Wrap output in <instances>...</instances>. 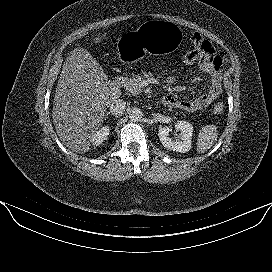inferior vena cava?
Returning a JSON list of instances; mask_svg holds the SVG:
<instances>
[{
	"label": "inferior vena cava",
	"instance_id": "1",
	"mask_svg": "<svg viewBox=\"0 0 272 272\" xmlns=\"http://www.w3.org/2000/svg\"><path fill=\"white\" fill-rule=\"evenodd\" d=\"M126 102L123 99H115L110 105V112L119 115L125 111Z\"/></svg>",
	"mask_w": 272,
	"mask_h": 272
}]
</instances>
